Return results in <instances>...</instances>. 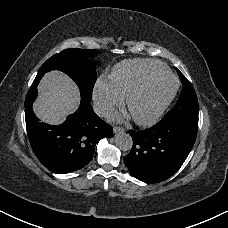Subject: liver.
Segmentation results:
<instances>
[{
	"label": "liver",
	"mask_w": 228,
	"mask_h": 228,
	"mask_svg": "<svg viewBox=\"0 0 228 228\" xmlns=\"http://www.w3.org/2000/svg\"><path fill=\"white\" fill-rule=\"evenodd\" d=\"M39 93L34 110L45 123L58 124L64 120L65 114L78 108V87L61 72L47 73L41 81Z\"/></svg>",
	"instance_id": "liver-1"
}]
</instances>
